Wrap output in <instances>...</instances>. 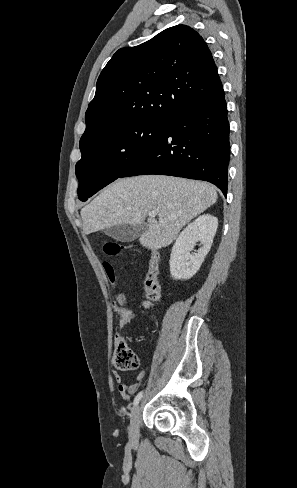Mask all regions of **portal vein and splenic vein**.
I'll list each match as a JSON object with an SVG mask.
<instances>
[{
	"label": "portal vein and splenic vein",
	"instance_id": "portal-vein-and-splenic-vein-1",
	"mask_svg": "<svg viewBox=\"0 0 297 488\" xmlns=\"http://www.w3.org/2000/svg\"><path fill=\"white\" fill-rule=\"evenodd\" d=\"M148 215H149L150 217H154V216L156 215V213H155V212H149V213H148ZM159 220H160V221H163V219H162V218H160Z\"/></svg>",
	"mask_w": 297,
	"mask_h": 488
}]
</instances>
